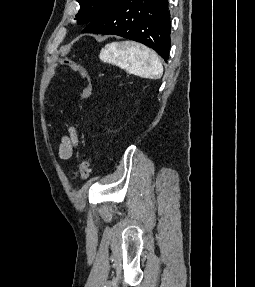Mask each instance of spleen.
I'll use <instances>...</instances> for the list:
<instances>
[{
  "instance_id": "3e777b00",
  "label": "spleen",
  "mask_w": 255,
  "mask_h": 287,
  "mask_svg": "<svg viewBox=\"0 0 255 287\" xmlns=\"http://www.w3.org/2000/svg\"><path fill=\"white\" fill-rule=\"evenodd\" d=\"M99 58L102 62L114 64V66H128L130 72L140 78L159 80L163 74V66L157 54L135 42L107 44Z\"/></svg>"
}]
</instances>
